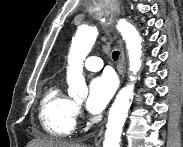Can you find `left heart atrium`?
Segmentation results:
<instances>
[{
	"mask_svg": "<svg viewBox=\"0 0 183 147\" xmlns=\"http://www.w3.org/2000/svg\"><path fill=\"white\" fill-rule=\"evenodd\" d=\"M116 87L115 78L108 73L94 78L89 86L87 109L94 114L102 112L111 100Z\"/></svg>",
	"mask_w": 183,
	"mask_h": 147,
	"instance_id": "obj_1",
	"label": "left heart atrium"
}]
</instances>
